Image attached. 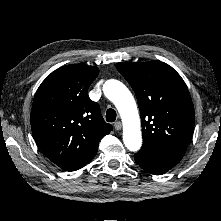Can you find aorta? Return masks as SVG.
Segmentation results:
<instances>
[{
	"mask_svg": "<svg viewBox=\"0 0 221 221\" xmlns=\"http://www.w3.org/2000/svg\"><path fill=\"white\" fill-rule=\"evenodd\" d=\"M103 92L121 115L126 148L133 152L138 151L142 145L140 118L131 92L123 83L114 79L105 82Z\"/></svg>",
	"mask_w": 221,
	"mask_h": 221,
	"instance_id": "1",
	"label": "aorta"
}]
</instances>
